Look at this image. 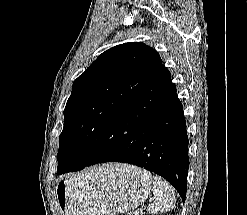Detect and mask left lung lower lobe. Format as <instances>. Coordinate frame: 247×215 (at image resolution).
I'll return each mask as SVG.
<instances>
[{
    "instance_id": "obj_1",
    "label": "left lung lower lobe",
    "mask_w": 247,
    "mask_h": 215,
    "mask_svg": "<svg viewBox=\"0 0 247 215\" xmlns=\"http://www.w3.org/2000/svg\"><path fill=\"white\" fill-rule=\"evenodd\" d=\"M99 145L97 151L85 146L78 162L62 173L97 163H130L164 177L185 201L189 169L186 122L176 87L162 63Z\"/></svg>"
}]
</instances>
